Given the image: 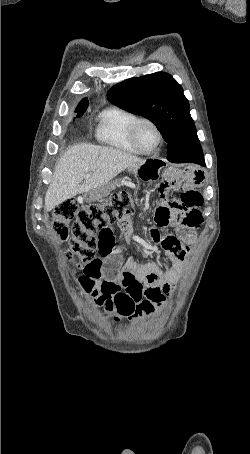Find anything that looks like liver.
<instances>
[{
    "instance_id": "obj_1",
    "label": "liver",
    "mask_w": 250,
    "mask_h": 454,
    "mask_svg": "<svg viewBox=\"0 0 250 454\" xmlns=\"http://www.w3.org/2000/svg\"><path fill=\"white\" fill-rule=\"evenodd\" d=\"M144 161L119 149L91 144L72 146L55 167L45 196V209L51 211L78 194L99 189L126 168ZM86 174L90 177L86 178Z\"/></svg>"
}]
</instances>
